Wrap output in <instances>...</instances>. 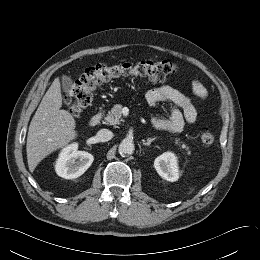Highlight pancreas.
I'll use <instances>...</instances> for the list:
<instances>
[{"label":"pancreas","instance_id":"obj_1","mask_svg":"<svg viewBox=\"0 0 260 260\" xmlns=\"http://www.w3.org/2000/svg\"><path fill=\"white\" fill-rule=\"evenodd\" d=\"M122 109L123 106L121 104L114 105L111 111H109L107 116L105 117V124H119L122 120ZM175 144L179 145L182 149H185L187 151V154L191 153V151L189 150V146L182 143L179 138H175Z\"/></svg>","mask_w":260,"mask_h":260}]
</instances>
